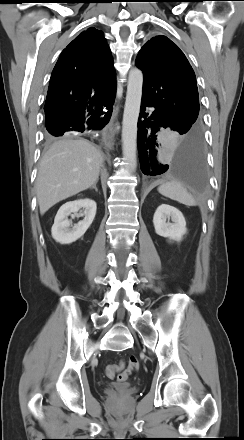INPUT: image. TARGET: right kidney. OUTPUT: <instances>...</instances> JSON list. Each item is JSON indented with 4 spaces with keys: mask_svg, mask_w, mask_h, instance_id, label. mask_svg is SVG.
<instances>
[{
    "mask_svg": "<svg viewBox=\"0 0 244 440\" xmlns=\"http://www.w3.org/2000/svg\"><path fill=\"white\" fill-rule=\"evenodd\" d=\"M81 209L84 210V219L72 226V221L68 220V216ZM96 209V202L88 198L70 201L62 205L55 216L51 229L53 239L61 244H71L78 240L92 224Z\"/></svg>",
    "mask_w": 244,
    "mask_h": 440,
    "instance_id": "obj_1",
    "label": "right kidney"
}]
</instances>
